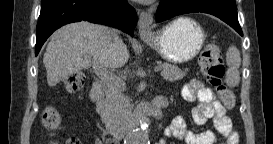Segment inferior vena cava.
Masks as SVG:
<instances>
[{
	"mask_svg": "<svg viewBox=\"0 0 273 144\" xmlns=\"http://www.w3.org/2000/svg\"><path fill=\"white\" fill-rule=\"evenodd\" d=\"M110 36L113 38V40L116 42L118 40V31L116 29H110L109 30Z\"/></svg>",
	"mask_w": 273,
	"mask_h": 144,
	"instance_id": "inferior-vena-cava-1",
	"label": "inferior vena cava"
}]
</instances>
